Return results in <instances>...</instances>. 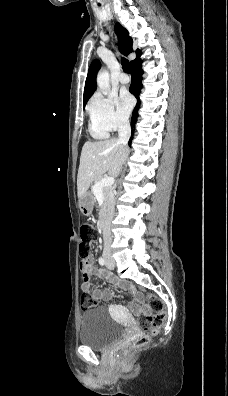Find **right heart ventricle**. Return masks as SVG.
<instances>
[{"mask_svg":"<svg viewBox=\"0 0 228 396\" xmlns=\"http://www.w3.org/2000/svg\"><path fill=\"white\" fill-rule=\"evenodd\" d=\"M90 133H91V135L93 137H95L97 139H103V138H106L108 136V132H106L103 129H101L100 127H98L92 121H91V124H90Z\"/></svg>","mask_w":228,"mask_h":396,"instance_id":"e07e8e85","label":"right heart ventricle"}]
</instances>
